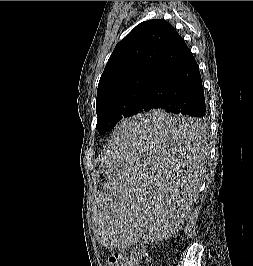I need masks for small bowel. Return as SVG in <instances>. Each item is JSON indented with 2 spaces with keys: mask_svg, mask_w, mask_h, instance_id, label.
Masks as SVG:
<instances>
[{
  "mask_svg": "<svg viewBox=\"0 0 253 266\" xmlns=\"http://www.w3.org/2000/svg\"><path fill=\"white\" fill-rule=\"evenodd\" d=\"M126 266H141L139 260L133 256L129 261H126Z\"/></svg>",
  "mask_w": 253,
  "mask_h": 266,
  "instance_id": "c3829d8e",
  "label": "small bowel"
}]
</instances>
